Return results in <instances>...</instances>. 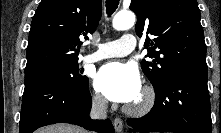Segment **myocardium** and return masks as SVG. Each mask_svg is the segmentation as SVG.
Masks as SVG:
<instances>
[{
  "instance_id": "1",
  "label": "myocardium",
  "mask_w": 221,
  "mask_h": 133,
  "mask_svg": "<svg viewBox=\"0 0 221 133\" xmlns=\"http://www.w3.org/2000/svg\"><path fill=\"white\" fill-rule=\"evenodd\" d=\"M156 99L155 91L151 86H145L138 101L127 107V112L134 116L147 114L154 106Z\"/></svg>"
}]
</instances>
